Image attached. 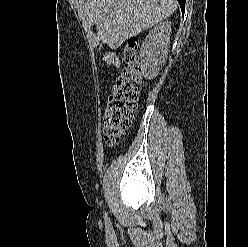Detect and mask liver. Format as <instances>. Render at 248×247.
<instances>
[{
    "mask_svg": "<svg viewBox=\"0 0 248 247\" xmlns=\"http://www.w3.org/2000/svg\"><path fill=\"white\" fill-rule=\"evenodd\" d=\"M79 18L94 47L111 49L170 17L176 0H76ZM96 25L97 34L91 31Z\"/></svg>",
    "mask_w": 248,
    "mask_h": 247,
    "instance_id": "liver-1",
    "label": "liver"
}]
</instances>
